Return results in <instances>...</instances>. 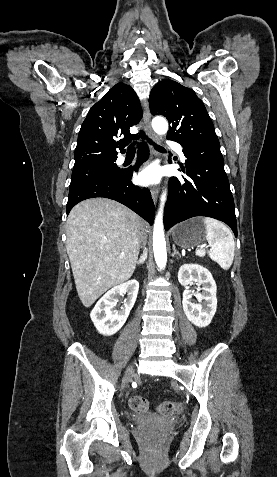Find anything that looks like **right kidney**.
I'll use <instances>...</instances> for the list:
<instances>
[{"label":"right kidney","instance_id":"obj_1","mask_svg":"<svg viewBox=\"0 0 277 477\" xmlns=\"http://www.w3.org/2000/svg\"><path fill=\"white\" fill-rule=\"evenodd\" d=\"M138 290V281L132 279L113 287L97 302L90 317L100 334L110 336L121 329L134 306ZM123 294H127V298L121 309L117 310V300Z\"/></svg>","mask_w":277,"mask_h":477}]
</instances>
